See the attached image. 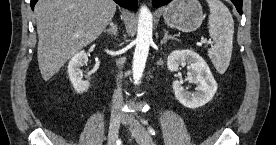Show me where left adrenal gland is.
Wrapping results in <instances>:
<instances>
[{
    "label": "left adrenal gland",
    "mask_w": 276,
    "mask_h": 145,
    "mask_svg": "<svg viewBox=\"0 0 276 145\" xmlns=\"http://www.w3.org/2000/svg\"><path fill=\"white\" fill-rule=\"evenodd\" d=\"M164 32H165L164 37H163V39L160 42L161 45L165 44L169 39L179 41V39H177L176 37L169 35L168 31L166 29H164Z\"/></svg>",
    "instance_id": "a2214340"
}]
</instances>
